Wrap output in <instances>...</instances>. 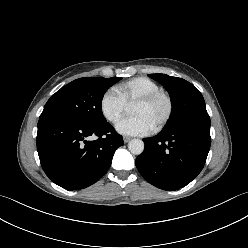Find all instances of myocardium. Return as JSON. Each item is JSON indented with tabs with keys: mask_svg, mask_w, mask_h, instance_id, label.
Segmentation results:
<instances>
[{
	"mask_svg": "<svg viewBox=\"0 0 248 248\" xmlns=\"http://www.w3.org/2000/svg\"><path fill=\"white\" fill-rule=\"evenodd\" d=\"M160 98L165 99L167 103V111L163 119L153 128L154 131H159L162 128H164L169 122V120L171 119V116L173 114V101H172L171 96L165 91L158 90V91H155L153 93H150L146 96L139 98L135 102V104L148 105V104L155 102L156 100Z\"/></svg>",
	"mask_w": 248,
	"mask_h": 248,
	"instance_id": "1",
	"label": "myocardium"
}]
</instances>
